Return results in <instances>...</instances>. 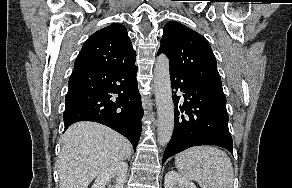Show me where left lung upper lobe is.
I'll use <instances>...</instances> for the list:
<instances>
[{"label":"left lung upper lobe","instance_id":"1","mask_svg":"<svg viewBox=\"0 0 292 188\" xmlns=\"http://www.w3.org/2000/svg\"><path fill=\"white\" fill-rule=\"evenodd\" d=\"M160 53L169 58L170 71L222 89L212 49L207 40L194 30L176 21L167 22L158 50Z\"/></svg>","mask_w":292,"mask_h":188}]
</instances>
